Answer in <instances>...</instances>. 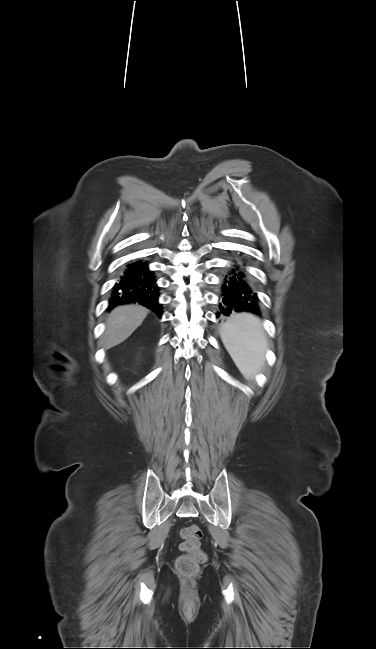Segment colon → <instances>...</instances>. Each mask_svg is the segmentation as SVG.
<instances>
[{
  "label": "colon",
  "mask_w": 376,
  "mask_h": 649,
  "mask_svg": "<svg viewBox=\"0 0 376 649\" xmlns=\"http://www.w3.org/2000/svg\"><path fill=\"white\" fill-rule=\"evenodd\" d=\"M181 537L180 549L184 554L176 560V569L183 575H194L197 573L200 565L204 564L207 560L200 545L202 531L199 526L192 524L181 530Z\"/></svg>",
  "instance_id": "obj_1"
}]
</instances>
